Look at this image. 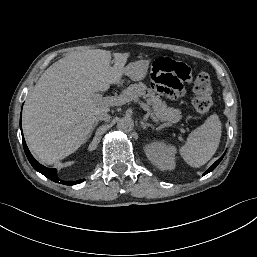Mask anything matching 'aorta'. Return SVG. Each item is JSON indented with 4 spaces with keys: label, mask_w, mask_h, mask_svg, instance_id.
<instances>
[{
    "label": "aorta",
    "mask_w": 257,
    "mask_h": 257,
    "mask_svg": "<svg viewBox=\"0 0 257 257\" xmlns=\"http://www.w3.org/2000/svg\"><path fill=\"white\" fill-rule=\"evenodd\" d=\"M134 122L130 117H123L117 122V128L124 132H129L133 129Z\"/></svg>",
    "instance_id": "aorta-1"
}]
</instances>
